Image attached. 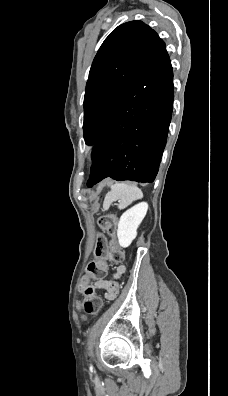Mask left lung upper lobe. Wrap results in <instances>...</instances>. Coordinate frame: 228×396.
Segmentation results:
<instances>
[{
  "instance_id": "left-lung-upper-lobe-1",
  "label": "left lung upper lobe",
  "mask_w": 228,
  "mask_h": 396,
  "mask_svg": "<svg viewBox=\"0 0 228 396\" xmlns=\"http://www.w3.org/2000/svg\"><path fill=\"white\" fill-rule=\"evenodd\" d=\"M159 36L142 21L121 24L105 39L89 73L84 96V139L92 145L113 108L136 80Z\"/></svg>"
}]
</instances>
